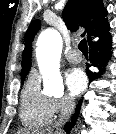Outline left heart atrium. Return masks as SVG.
<instances>
[{
	"instance_id": "obj_1",
	"label": "left heart atrium",
	"mask_w": 116,
	"mask_h": 134,
	"mask_svg": "<svg viewBox=\"0 0 116 134\" xmlns=\"http://www.w3.org/2000/svg\"><path fill=\"white\" fill-rule=\"evenodd\" d=\"M87 79L84 72L79 68L71 69L66 74V86L73 96L80 94L86 87Z\"/></svg>"
}]
</instances>
